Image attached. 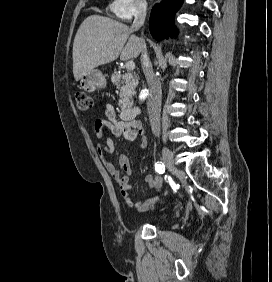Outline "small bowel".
<instances>
[{"label": "small bowel", "mask_w": 272, "mask_h": 282, "mask_svg": "<svg viewBox=\"0 0 272 282\" xmlns=\"http://www.w3.org/2000/svg\"><path fill=\"white\" fill-rule=\"evenodd\" d=\"M94 131L96 138L99 140L104 138L108 131L110 132V135L106 139V143H98L96 148L105 168L118 184L120 194L126 205L135 211H143L152 206L158 199L156 196L147 200L135 201L130 194V190L132 189V185L130 184L132 169L129 158L125 154L119 155V166H116L107 156V154L114 151V140L121 137L130 141L138 139L140 148L146 149L148 138L142 124L139 121H126L120 119L117 116L115 109L111 105H107L105 108V115L95 121ZM144 182L151 190L155 192L161 191L163 185L161 176L147 174L144 178Z\"/></svg>", "instance_id": "obj_1"}]
</instances>
